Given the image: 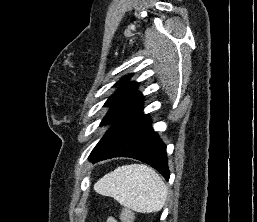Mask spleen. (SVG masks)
Masks as SVG:
<instances>
[{
	"mask_svg": "<svg viewBox=\"0 0 257 222\" xmlns=\"http://www.w3.org/2000/svg\"><path fill=\"white\" fill-rule=\"evenodd\" d=\"M94 190L139 213L157 212L167 199V186L162 178L143 164L116 168L95 183Z\"/></svg>",
	"mask_w": 257,
	"mask_h": 222,
	"instance_id": "obj_1",
	"label": "spleen"
}]
</instances>
